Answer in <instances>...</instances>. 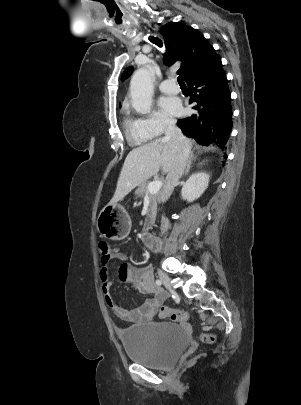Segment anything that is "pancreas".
Masks as SVG:
<instances>
[{"label": "pancreas", "mask_w": 301, "mask_h": 405, "mask_svg": "<svg viewBox=\"0 0 301 405\" xmlns=\"http://www.w3.org/2000/svg\"><path fill=\"white\" fill-rule=\"evenodd\" d=\"M148 185H149L148 182H143L142 184H140L136 189L135 194L140 198H144L148 194L147 193ZM158 200L159 194H149V202H150L149 210L142 229L143 233H147L150 229H152V226L155 223Z\"/></svg>", "instance_id": "cf45deb5"}]
</instances>
